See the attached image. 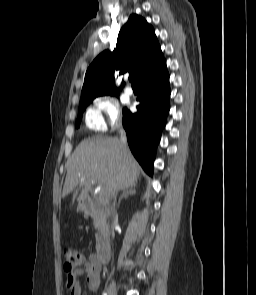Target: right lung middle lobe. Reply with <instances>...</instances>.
Segmentation results:
<instances>
[{"instance_id": "1", "label": "right lung middle lobe", "mask_w": 256, "mask_h": 295, "mask_svg": "<svg viewBox=\"0 0 256 295\" xmlns=\"http://www.w3.org/2000/svg\"><path fill=\"white\" fill-rule=\"evenodd\" d=\"M95 97H86V98H81L80 100V105H79V111H78V118L76 121V127L78 128L80 126L82 114L86 107L90 104V102L94 99Z\"/></svg>"}]
</instances>
